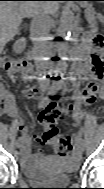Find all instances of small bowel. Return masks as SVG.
Segmentation results:
<instances>
[{
	"mask_svg": "<svg viewBox=\"0 0 104 189\" xmlns=\"http://www.w3.org/2000/svg\"><path fill=\"white\" fill-rule=\"evenodd\" d=\"M6 77L9 81H15L16 72H20L21 80L26 83L35 78L28 64L23 62L20 64H11L5 67ZM93 64L90 60L81 61L73 71L74 77L77 79H86V86L82 89L76 88L75 100L77 103L93 104L102 96V88L96 82V78L92 77ZM0 94L5 99L4 113L15 120L16 127L22 134L21 155L23 163L28 167L43 159L41 154H32L30 149V130L26 122L21 119V112L15 103L12 93L5 85L0 86ZM79 139V138H77ZM77 155L70 158L69 161L75 163Z\"/></svg>",
	"mask_w": 104,
	"mask_h": 189,
	"instance_id": "small-bowel-1",
	"label": "small bowel"
}]
</instances>
